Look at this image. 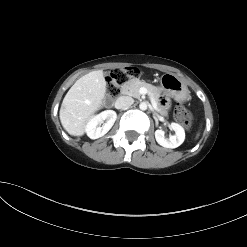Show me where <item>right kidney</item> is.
Here are the masks:
<instances>
[{
    "instance_id": "ca27d5eb",
    "label": "right kidney",
    "mask_w": 247,
    "mask_h": 247,
    "mask_svg": "<svg viewBox=\"0 0 247 247\" xmlns=\"http://www.w3.org/2000/svg\"><path fill=\"white\" fill-rule=\"evenodd\" d=\"M117 119V114L113 110H105L100 114L89 119L86 125L87 136L91 139H97L104 136L114 125ZM106 120L102 126L103 121Z\"/></svg>"
}]
</instances>
